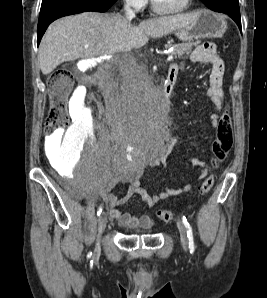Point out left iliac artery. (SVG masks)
Instances as JSON below:
<instances>
[{
	"instance_id": "1",
	"label": "left iliac artery",
	"mask_w": 267,
	"mask_h": 298,
	"mask_svg": "<svg viewBox=\"0 0 267 298\" xmlns=\"http://www.w3.org/2000/svg\"><path fill=\"white\" fill-rule=\"evenodd\" d=\"M182 222L187 230V237L189 240V249L190 252L193 253L195 250V245H194V238H193V231H192V227L190 226L189 222L187 221L186 217L183 216L182 217Z\"/></svg>"
}]
</instances>
